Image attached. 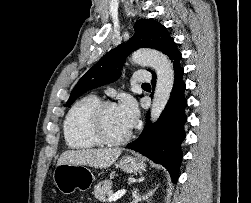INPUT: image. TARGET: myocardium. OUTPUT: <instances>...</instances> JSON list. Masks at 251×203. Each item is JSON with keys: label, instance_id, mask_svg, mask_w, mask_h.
Instances as JSON below:
<instances>
[{"label": "myocardium", "instance_id": "obj_1", "mask_svg": "<svg viewBox=\"0 0 251 203\" xmlns=\"http://www.w3.org/2000/svg\"><path fill=\"white\" fill-rule=\"evenodd\" d=\"M116 106L112 101L99 102L91 111L88 120V129L90 134L101 144L105 145H120L127 142L132 132L129 131L126 135L119 138L109 137L103 127V116L107 109Z\"/></svg>", "mask_w": 251, "mask_h": 203}]
</instances>
